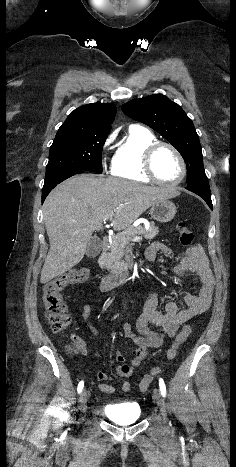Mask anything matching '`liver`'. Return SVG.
Instances as JSON below:
<instances>
[{
  "mask_svg": "<svg viewBox=\"0 0 236 467\" xmlns=\"http://www.w3.org/2000/svg\"><path fill=\"white\" fill-rule=\"evenodd\" d=\"M178 195L173 187L143 186L94 174L64 181L50 192L43 206L50 249L40 282L45 284L76 266L106 217L115 230H123L154 203Z\"/></svg>",
  "mask_w": 236,
  "mask_h": 467,
  "instance_id": "6515ba94",
  "label": "liver"
}]
</instances>
